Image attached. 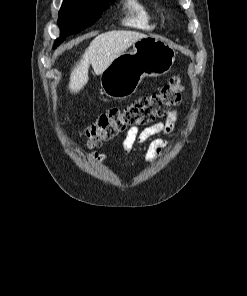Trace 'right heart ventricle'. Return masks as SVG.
I'll return each instance as SVG.
<instances>
[{"label": "right heart ventricle", "mask_w": 247, "mask_h": 296, "mask_svg": "<svg viewBox=\"0 0 247 296\" xmlns=\"http://www.w3.org/2000/svg\"><path fill=\"white\" fill-rule=\"evenodd\" d=\"M125 8V25L140 30L154 29L155 19L145 2L142 0H125Z\"/></svg>", "instance_id": "1"}]
</instances>
